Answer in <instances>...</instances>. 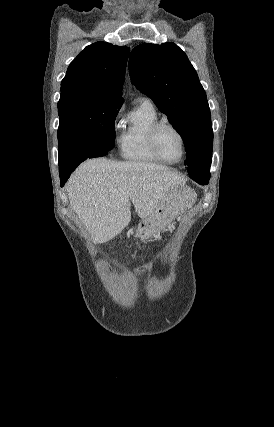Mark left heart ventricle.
<instances>
[{
	"label": "left heart ventricle",
	"instance_id": "obj_1",
	"mask_svg": "<svg viewBox=\"0 0 274 427\" xmlns=\"http://www.w3.org/2000/svg\"><path fill=\"white\" fill-rule=\"evenodd\" d=\"M161 153L170 161H178L182 156V143L179 135L170 128H163L158 135Z\"/></svg>",
	"mask_w": 274,
	"mask_h": 427
}]
</instances>
